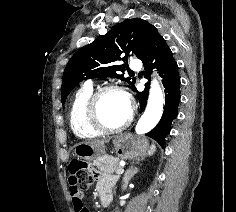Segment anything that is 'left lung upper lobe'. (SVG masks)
Here are the masks:
<instances>
[{
    "instance_id": "left-lung-upper-lobe-1",
    "label": "left lung upper lobe",
    "mask_w": 236,
    "mask_h": 212,
    "mask_svg": "<svg viewBox=\"0 0 236 212\" xmlns=\"http://www.w3.org/2000/svg\"><path fill=\"white\" fill-rule=\"evenodd\" d=\"M154 26L140 18L127 19L116 24L107 34L99 36L89 45L77 51L68 62L62 79V104L68 94L85 79L114 77L126 81L135 88V78H125L127 65H118L132 52L141 59ZM138 47V49H134ZM126 53L125 57L120 55Z\"/></svg>"
}]
</instances>
